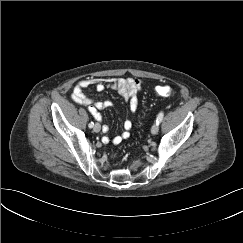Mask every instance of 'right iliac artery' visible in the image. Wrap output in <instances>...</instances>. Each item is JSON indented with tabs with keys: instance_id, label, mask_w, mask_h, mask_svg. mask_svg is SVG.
Listing matches in <instances>:
<instances>
[{
	"instance_id": "obj_1",
	"label": "right iliac artery",
	"mask_w": 243,
	"mask_h": 243,
	"mask_svg": "<svg viewBox=\"0 0 243 243\" xmlns=\"http://www.w3.org/2000/svg\"><path fill=\"white\" fill-rule=\"evenodd\" d=\"M88 126H89V128H92L94 126V123L90 122Z\"/></svg>"
}]
</instances>
